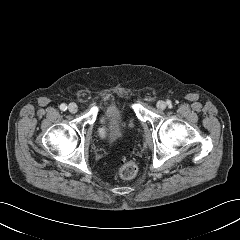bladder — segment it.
I'll return each mask as SVG.
<instances>
[{"instance_id":"obj_1","label":"bladder","mask_w":240,"mask_h":240,"mask_svg":"<svg viewBox=\"0 0 240 240\" xmlns=\"http://www.w3.org/2000/svg\"><path fill=\"white\" fill-rule=\"evenodd\" d=\"M108 128L114 141L124 138V118L120 111H112L108 120Z\"/></svg>"}]
</instances>
